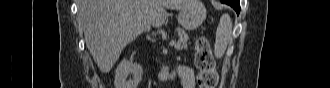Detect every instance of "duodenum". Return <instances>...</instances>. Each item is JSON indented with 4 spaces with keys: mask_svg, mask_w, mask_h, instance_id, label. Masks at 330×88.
<instances>
[{
    "mask_svg": "<svg viewBox=\"0 0 330 88\" xmlns=\"http://www.w3.org/2000/svg\"><path fill=\"white\" fill-rule=\"evenodd\" d=\"M157 73L160 77L164 78V79H167V78H171V74H170V71L167 67H158L157 68Z\"/></svg>",
    "mask_w": 330,
    "mask_h": 88,
    "instance_id": "duodenum-1",
    "label": "duodenum"
}]
</instances>
